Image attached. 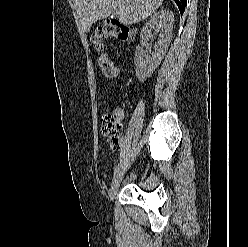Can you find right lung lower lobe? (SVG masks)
<instances>
[{
    "label": "right lung lower lobe",
    "mask_w": 248,
    "mask_h": 247,
    "mask_svg": "<svg viewBox=\"0 0 248 247\" xmlns=\"http://www.w3.org/2000/svg\"><path fill=\"white\" fill-rule=\"evenodd\" d=\"M180 10L181 15L184 13L187 0H174Z\"/></svg>",
    "instance_id": "98d812e1"
}]
</instances>
